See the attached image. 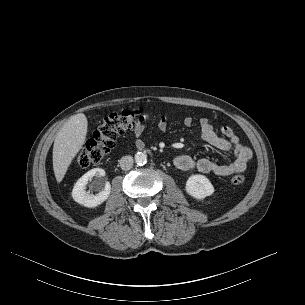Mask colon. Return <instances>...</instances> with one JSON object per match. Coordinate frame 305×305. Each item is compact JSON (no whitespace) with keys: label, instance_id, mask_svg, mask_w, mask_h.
Returning a JSON list of instances; mask_svg holds the SVG:
<instances>
[{"label":"colon","instance_id":"obj_1","mask_svg":"<svg viewBox=\"0 0 305 305\" xmlns=\"http://www.w3.org/2000/svg\"><path fill=\"white\" fill-rule=\"evenodd\" d=\"M140 117L131 110H122L107 115L97 127L91 139L76 155L75 162L79 167L87 168L101 162L115 145L117 137L131 130ZM244 175H235L231 182L234 185L244 183Z\"/></svg>","mask_w":305,"mask_h":305}]
</instances>
